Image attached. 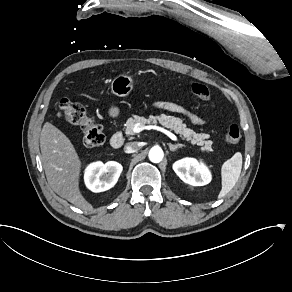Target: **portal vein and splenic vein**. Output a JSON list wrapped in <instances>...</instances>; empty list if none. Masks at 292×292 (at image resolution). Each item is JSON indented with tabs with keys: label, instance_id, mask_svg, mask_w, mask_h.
<instances>
[{
	"label": "portal vein and splenic vein",
	"instance_id": "18ae733b",
	"mask_svg": "<svg viewBox=\"0 0 292 292\" xmlns=\"http://www.w3.org/2000/svg\"><path fill=\"white\" fill-rule=\"evenodd\" d=\"M142 130H143V128L141 127L140 124H135L134 127L132 128V132H133V133H139V132H141ZM167 134H168V136H169L173 141H175V142H178V141H179V139H178V137H177L176 135H174V134H172V133H170V132H168Z\"/></svg>",
	"mask_w": 292,
	"mask_h": 292
}]
</instances>
